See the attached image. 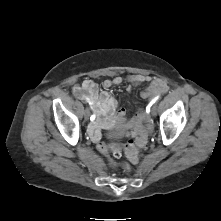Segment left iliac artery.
Returning <instances> with one entry per match:
<instances>
[{
    "mask_svg": "<svg viewBox=\"0 0 221 221\" xmlns=\"http://www.w3.org/2000/svg\"><path fill=\"white\" fill-rule=\"evenodd\" d=\"M153 103H155V100L148 105V107L146 108V111H147V112L150 111V107L152 106Z\"/></svg>",
    "mask_w": 221,
    "mask_h": 221,
    "instance_id": "44dca946",
    "label": "left iliac artery"
}]
</instances>
